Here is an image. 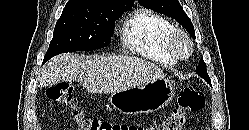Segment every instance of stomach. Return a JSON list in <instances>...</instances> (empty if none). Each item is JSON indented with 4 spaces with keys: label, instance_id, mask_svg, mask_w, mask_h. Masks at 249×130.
Wrapping results in <instances>:
<instances>
[{
    "label": "stomach",
    "instance_id": "obj_1",
    "mask_svg": "<svg viewBox=\"0 0 249 130\" xmlns=\"http://www.w3.org/2000/svg\"><path fill=\"white\" fill-rule=\"evenodd\" d=\"M175 96V85L165 78L112 93L109 101L123 114L152 113L167 106Z\"/></svg>",
    "mask_w": 249,
    "mask_h": 130
}]
</instances>
